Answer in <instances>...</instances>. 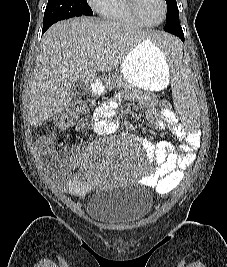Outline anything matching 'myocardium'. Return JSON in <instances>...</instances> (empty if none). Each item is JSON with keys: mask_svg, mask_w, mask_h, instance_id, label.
<instances>
[{"mask_svg": "<svg viewBox=\"0 0 227 267\" xmlns=\"http://www.w3.org/2000/svg\"><path fill=\"white\" fill-rule=\"evenodd\" d=\"M161 3H162V6H163L162 18L158 22L151 23V22H148L143 17V15L141 14V12L139 10V0H128V5H129V8H130L131 12L133 13V15L139 21H141L144 25H147V26H157V25L161 24L165 20V18L167 16V9H168L167 1L166 0H161Z\"/></svg>", "mask_w": 227, "mask_h": 267, "instance_id": "myocardium-1", "label": "myocardium"}]
</instances>
